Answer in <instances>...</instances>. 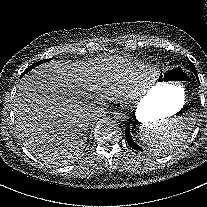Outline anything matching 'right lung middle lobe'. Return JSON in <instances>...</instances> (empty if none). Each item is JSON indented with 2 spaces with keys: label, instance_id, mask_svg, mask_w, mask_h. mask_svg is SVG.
Wrapping results in <instances>:
<instances>
[{
  "label": "right lung middle lobe",
  "instance_id": "right-lung-middle-lobe-1",
  "mask_svg": "<svg viewBox=\"0 0 207 207\" xmlns=\"http://www.w3.org/2000/svg\"><path fill=\"white\" fill-rule=\"evenodd\" d=\"M50 60H51V59H49V60H43V61H39V62H37V63H35V64H32L31 66H29V68H27V69L23 72V74H22L21 76H23L24 74H26L27 72H29L30 70H32L33 68H35L36 66L41 65L42 63L48 62V61H50Z\"/></svg>",
  "mask_w": 207,
  "mask_h": 207
}]
</instances>
